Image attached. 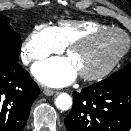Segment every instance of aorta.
Instances as JSON below:
<instances>
[{
    "instance_id": "1",
    "label": "aorta",
    "mask_w": 131,
    "mask_h": 131,
    "mask_svg": "<svg viewBox=\"0 0 131 131\" xmlns=\"http://www.w3.org/2000/svg\"><path fill=\"white\" fill-rule=\"evenodd\" d=\"M55 104L62 111L68 110L72 106V98L67 93H60L55 99Z\"/></svg>"
}]
</instances>
